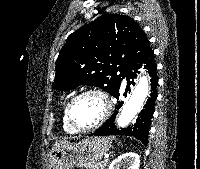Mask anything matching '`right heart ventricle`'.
Instances as JSON below:
<instances>
[{"label":"right heart ventricle","instance_id":"obj_1","mask_svg":"<svg viewBox=\"0 0 200 169\" xmlns=\"http://www.w3.org/2000/svg\"><path fill=\"white\" fill-rule=\"evenodd\" d=\"M68 102L69 101H66V103L64 104L63 113H62V126H63L64 131H66L67 133L73 134V133H76V131L69 124L68 119H67V114H66Z\"/></svg>","mask_w":200,"mask_h":169}]
</instances>
